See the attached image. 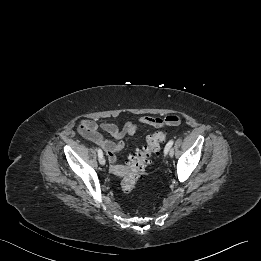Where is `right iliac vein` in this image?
I'll list each match as a JSON object with an SVG mask.
<instances>
[{"label":"right iliac vein","mask_w":261,"mask_h":261,"mask_svg":"<svg viewBox=\"0 0 261 261\" xmlns=\"http://www.w3.org/2000/svg\"><path fill=\"white\" fill-rule=\"evenodd\" d=\"M99 163L101 165H105L106 161H105L104 157H99Z\"/></svg>","instance_id":"right-iliac-vein-1"}]
</instances>
